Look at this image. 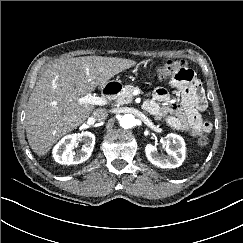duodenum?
I'll return each instance as SVG.
<instances>
[{
    "instance_id": "1",
    "label": "duodenum",
    "mask_w": 243,
    "mask_h": 243,
    "mask_svg": "<svg viewBox=\"0 0 243 243\" xmlns=\"http://www.w3.org/2000/svg\"><path fill=\"white\" fill-rule=\"evenodd\" d=\"M120 89H121V86L119 83L111 82L104 87L102 94H103V96H105L107 98H112L118 94Z\"/></svg>"
}]
</instances>
